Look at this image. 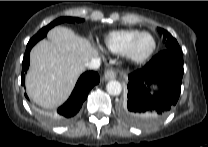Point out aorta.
Listing matches in <instances>:
<instances>
[{
	"mask_svg": "<svg viewBox=\"0 0 208 147\" xmlns=\"http://www.w3.org/2000/svg\"><path fill=\"white\" fill-rule=\"evenodd\" d=\"M106 90L110 95H119L122 91V86L118 81L111 80L107 83Z\"/></svg>",
	"mask_w": 208,
	"mask_h": 147,
	"instance_id": "1",
	"label": "aorta"
}]
</instances>
